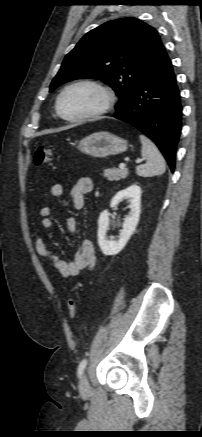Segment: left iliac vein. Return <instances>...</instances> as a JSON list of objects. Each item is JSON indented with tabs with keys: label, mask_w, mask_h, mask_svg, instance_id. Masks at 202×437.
<instances>
[{
	"label": "left iliac vein",
	"mask_w": 202,
	"mask_h": 437,
	"mask_svg": "<svg viewBox=\"0 0 202 437\" xmlns=\"http://www.w3.org/2000/svg\"><path fill=\"white\" fill-rule=\"evenodd\" d=\"M80 391L87 393L90 391V384L88 382V379L86 377V375H83L81 380H80V385H79Z\"/></svg>",
	"instance_id": "1"
}]
</instances>
